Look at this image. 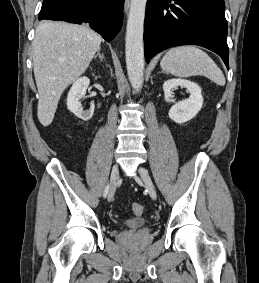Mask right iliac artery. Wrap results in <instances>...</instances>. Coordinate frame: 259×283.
I'll list each match as a JSON object with an SVG mask.
<instances>
[{
	"mask_svg": "<svg viewBox=\"0 0 259 283\" xmlns=\"http://www.w3.org/2000/svg\"><path fill=\"white\" fill-rule=\"evenodd\" d=\"M109 188H110V185H107L106 188H105V190H104V194H103L104 198L107 197L108 192H109Z\"/></svg>",
	"mask_w": 259,
	"mask_h": 283,
	"instance_id": "82829eb1",
	"label": "right iliac artery"
}]
</instances>
